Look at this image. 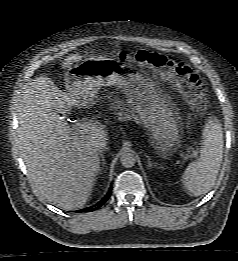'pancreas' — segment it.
<instances>
[{"mask_svg":"<svg viewBox=\"0 0 238 261\" xmlns=\"http://www.w3.org/2000/svg\"><path fill=\"white\" fill-rule=\"evenodd\" d=\"M118 102L121 103V104L119 105V108H120L121 110L130 111L128 108H125V107H124V103H123V102H121V101H118ZM135 113H136V110L133 109L132 112H131V114H126V113H123V112H121V111H118L116 114H117V116H118V120H119V121H125V120H131V119H134V120L137 121V120H139V119H138V115H136Z\"/></svg>","mask_w":238,"mask_h":261,"instance_id":"pancreas-1","label":"pancreas"}]
</instances>
